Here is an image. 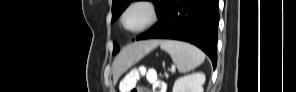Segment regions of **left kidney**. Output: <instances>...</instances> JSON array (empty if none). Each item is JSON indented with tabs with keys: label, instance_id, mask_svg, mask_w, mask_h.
Masks as SVG:
<instances>
[{
	"label": "left kidney",
	"instance_id": "left-kidney-1",
	"mask_svg": "<svg viewBox=\"0 0 296 92\" xmlns=\"http://www.w3.org/2000/svg\"><path fill=\"white\" fill-rule=\"evenodd\" d=\"M204 83L203 73L185 75L175 81L172 92H203Z\"/></svg>",
	"mask_w": 296,
	"mask_h": 92
}]
</instances>
